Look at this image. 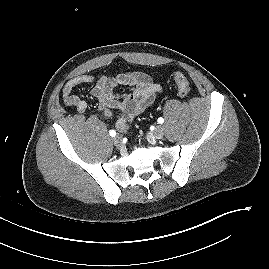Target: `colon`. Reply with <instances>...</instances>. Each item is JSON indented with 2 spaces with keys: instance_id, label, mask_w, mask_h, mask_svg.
Segmentation results:
<instances>
[{
  "instance_id": "1",
  "label": "colon",
  "mask_w": 269,
  "mask_h": 269,
  "mask_svg": "<svg viewBox=\"0 0 269 269\" xmlns=\"http://www.w3.org/2000/svg\"><path fill=\"white\" fill-rule=\"evenodd\" d=\"M174 81L176 83L179 95L181 97H187L190 93V85L187 77L181 72H176L174 74Z\"/></svg>"
}]
</instances>
